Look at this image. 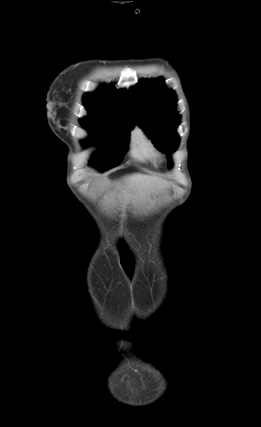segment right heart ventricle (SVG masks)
Wrapping results in <instances>:
<instances>
[{"instance_id": "1", "label": "right heart ventricle", "mask_w": 261, "mask_h": 427, "mask_svg": "<svg viewBox=\"0 0 261 427\" xmlns=\"http://www.w3.org/2000/svg\"><path fill=\"white\" fill-rule=\"evenodd\" d=\"M128 153L138 163L155 166L158 162V151L152 138L141 127L134 128L128 141Z\"/></svg>"}]
</instances>
